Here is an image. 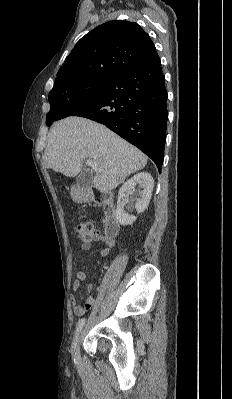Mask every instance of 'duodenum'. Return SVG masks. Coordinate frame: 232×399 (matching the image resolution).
Here are the masks:
<instances>
[{"mask_svg":"<svg viewBox=\"0 0 232 399\" xmlns=\"http://www.w3.org/2000/svg\"><path fill=\"white\" fill-rule=\"evenodd\" d=\"M78 196L83 202H94L102 205L105 217V234L110 238L115 237L119 231V224L116 219L112 194L91 187H83L79 189Z\"/></svg>","mask_w":232,"mask_h":399,"instance_id":"obj_1","label":"duodenum"}]
</instances>
